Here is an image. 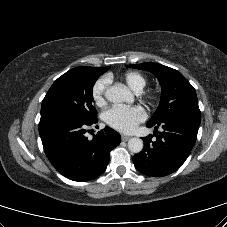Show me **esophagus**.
<instances>
[{
    "label": "esophagus",
    "instance_id": "1",
    "mask_svg": "<svg viewBox=\"0 0 227 227\" xmlns=\"http://www.w3.org/2000/svg\"><path fill=\"white\" fill-rule=\"evenodd\" d=\"M121 139H122V141H128L130 139V136L122 135Z\"/></svg>",
    "mask_w": 227,
    "mask_h": 227
}]
</instances>
